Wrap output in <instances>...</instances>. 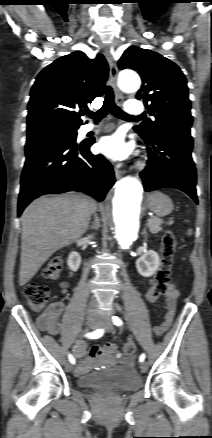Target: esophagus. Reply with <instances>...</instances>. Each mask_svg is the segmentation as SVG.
<instances>
[{
    "instance_id": "obj_1",
    "label": "esophagus",
    "mask_w": 212,
    "mask_h": 438,
    "mask_svg": "<svg viewBox=\"0 0 212 438\" xmlns=\"http://www.w3.org/2000/svg\"><path fill=\"white\" fill-rule=\"evenodd\" d=\"M104 55H105L107 62L109 64L110 82H111V86L113 87V90L115 93V99L117 102L120 103L123 100V95L117 86L118 69H117L115 62L113 61L112 54H111L110 48L108 46H105V48H104ZM121 176H122V171H120L119 169H115V177L117 179H120Z\"/></svg>"
}]
</instances>
